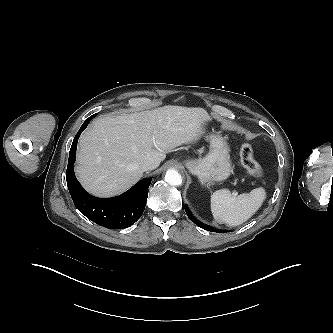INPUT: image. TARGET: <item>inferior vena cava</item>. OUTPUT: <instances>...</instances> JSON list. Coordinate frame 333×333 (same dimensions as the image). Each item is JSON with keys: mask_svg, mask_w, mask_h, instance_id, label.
I'll use <instances>...</instances> for the list:
<instances>
[{"mask_svg": "<svg viewBox=\"0 0 333 333\" xmlns=\"http://www.w3.org/2000/svg\"><path fill=\"white\" fill-rule=\"evenodd\" d=\"M159 166V162L155 159H147L141 163V168L144 171L153 170Z\"/></svg>", "mask_w": 333, "mask_h": 333, "instance_id": "602c4592", "label": "inferior vena cava"}]
</instances>
